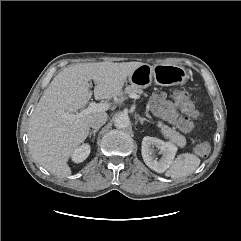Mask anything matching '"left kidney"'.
Returning a JSON list of instances; mask_svg holds the SVG:
<instances>
[{
  "instance_id": "1",
  "label": "left kidney",
  "mask_w": 241,
  "mask_h": 241,
  "mask_svg": "<svg viewBox=\"0 0 241 241\" xmlns=\"http://www.w3.org/2000/svg\"><path fill=\"white\" fill-rule=\"evenodd\" d=\"M155 149H158L159 154L162 155L159 160L154 156ZM141 152L143 160L149 168L157 173H163L170 167L176 155L177 147L171 142L146 136L142 140Z\"/></svg>"
}]
</instances>
